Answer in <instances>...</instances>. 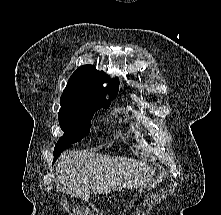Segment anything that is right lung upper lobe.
I'll return each instance as SVG.
<instances>
[{
    "instance_id": "1",
    "label": "right lung upper lobe",
    "mask_w": 221,
    "mask_h": 215,
    "mask_svg": "<svg viewBox=\"0 0 221 215\" xmlns=\"http://www.w3.org/2000/svg\"><path fill=\"white\" fill-rule=\"evenodd\" d=\"M105 82L108 83L107 87L102 86ZM118 83V79L111 81L106 73L98 71L94 65H83L71 75L60 98L61 107L104 101L107 94L109 98L114 97L119 89Z\"/></svg>"
}]
</instances>
